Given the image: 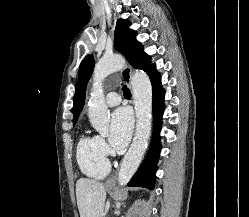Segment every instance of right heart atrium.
I'll list each match as a JSON object with an SVG mask.
<instances>
[{
  "label": "right heart atrium",
  "instance_id": "1",
  "mask_svg": "<svg viewBox=\"0 0 249 217\" xmlns=\"http://www.w3.org/2000/svg\"><path fill=\"white\" fill-rule=\"evenodd\" d=\"M97 143L99 146L100 151L107 156L110 152L109 147L107 145V143L105 142V140L99 136H97Z\"/></svg>",
  "mask_w": 249,
  "mask_h": 217
}]
</instances>
